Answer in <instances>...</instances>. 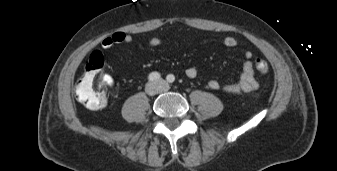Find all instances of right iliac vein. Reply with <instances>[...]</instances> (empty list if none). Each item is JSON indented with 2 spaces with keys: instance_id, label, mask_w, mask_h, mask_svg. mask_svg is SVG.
Returning <instances> with one entry per match:
<instances>
[{
  "instance_id": "obj_1",
  "label": "right iliac vein",
  "mask_w": 337,
  "mask_h": 171,
  "mask_svg": "<svg viewBox=\"0 0 337 171\" xmlns=\"http://www.w3.org/2000/svg\"><path fill=\"white\" fill-rule=\"evenodd\" d=\"M145 90H146L147 94H149V95H155V94L158 93L159 87L155 83H148Z\"/></svg>"
}]
</instances>
